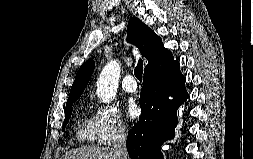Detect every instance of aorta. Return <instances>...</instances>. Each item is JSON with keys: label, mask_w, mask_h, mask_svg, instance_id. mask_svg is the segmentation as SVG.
<instances>
[{"label": "aorta", "mask_w": 253, "mask_h": 159, "mask_svg": "<svg viewBox=\"0 0 253 159\" xmlns=\"http://www.w3.org/2000/svg\"><path fill=\"white\" fill-rule=\"evenodd\" d=\"M119 77V62L113 60L105 65L96 83L98 98L105 103L113 101L117 93Z\"/></svg>", "instance_id": "762f6f07"}]
</instances>
